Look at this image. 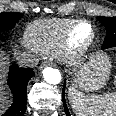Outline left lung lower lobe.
<instances>
[{"label":"left lung lower lobe","mask_w":116,"mask_h":116,"mask_svg":"<svg viewBox=\"0 0 116 116\" xmlns=\"http://www.w3.org/2000/svg\"><path fill=\"white\" fill-rule=\"evenodd\" d=\"M65 85H66V81L64 80V88H65ZM62 100H63V105H64L66 116H71L70 113H69V110L67 108L66 102H65L64 90H63V93H62Z\"/></svg>","instance_id":"0a47b994"}]
</instances>
